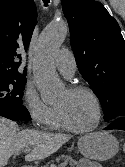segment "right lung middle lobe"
Here are the masks:
<instances>
[{
  "instance_id": "obj_1",
  "label": "right lung middle lobe",
  "mask_w": 125,
  "mask_h": 167,
  "mask_svg": "<svg viewBox=\"0 0 125 167\" xmlns=\"http://www.w3.org/2000/svg\"><path fill=\"white\" fill-rule=\"evenodd\" d=\"M25 77H0V101L22 105Z\"/></svg>"
}]
</instances>
